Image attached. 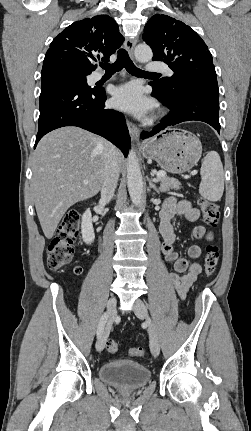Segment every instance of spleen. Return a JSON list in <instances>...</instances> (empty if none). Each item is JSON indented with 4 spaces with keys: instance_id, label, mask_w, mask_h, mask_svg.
<instances>
[{
    "instance_id": "1",
    "label": "spleen",
    "mask_w": 251,
    "mask_h": 431,
    "mask_svg": "<svg viewBox=\"0 0 251 431\" xmlns=\"http://www.w3.org/2000/svg\"><path fill=\"white\" fill-rule=\"evenodd\" d=\"M199 193L210 201H219L224 191V171L219 154L209 152L201 166Z\"/></svg>"
}]
</instances>
